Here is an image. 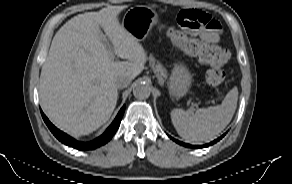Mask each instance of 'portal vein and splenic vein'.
<instances>
[{
  "mask_svg": "<svg viewBox=\"0 0 292 184\" xmlns=\"http://www.w3.org/2000/svg\"><path fill=\"white\" fill-rule=\"evenodd\" d=\"M109 54L112 58H114V54L109 50Z\"/></svg>",
  "mask_w": 292,
  "mask_h": 184,
  "instance_id": "18ae733b",
  "label": "portal vein and splenic vein"
}]
</instances>
